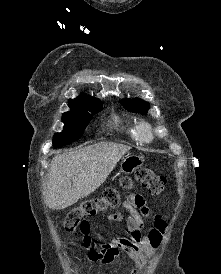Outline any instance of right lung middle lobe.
Here are the masks:
<instances>
[{"label": "right lung middle lobe", "instance_id": "1", "mask_svg": "<svg viewBox=\"0 0 221 274\" xmlns=\"http://www.w3.org/2000/svg\"><path fill=\"white\" fill-rule=\"evenodd\" d=\"M102 102L97 98H85L75 104H69L70 111L62 115L63 131L53 137V145L62 147L80 138L91 120V114L102 110Z\"/></svg>", "mask_w": 221, "mask_h": 274}]
</instances>
